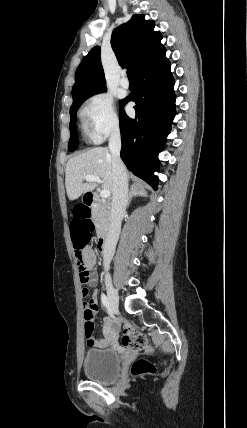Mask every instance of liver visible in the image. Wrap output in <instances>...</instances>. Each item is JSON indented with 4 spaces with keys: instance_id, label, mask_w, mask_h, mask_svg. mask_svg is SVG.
<instances>
[{
    "instance_id": "6515ba94",
    "label": "liver",
    "mask_w": 247,
    "mask_h": 428,
    "mask_svg": "<svg viewBox=\"0 0 247 428\" xmlns=\"http://www.w3.org/2000/svg\"><path fill=\"white\" fill-rule=\"evenodd\" d=\"M86 175L99 176L103 189L112 192V156L108 148H91L68 160L65 169V186L70 200H75L95 189L96 182H84Z\"/></svg>"
}]
</instances>
